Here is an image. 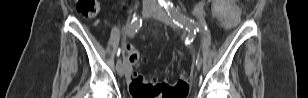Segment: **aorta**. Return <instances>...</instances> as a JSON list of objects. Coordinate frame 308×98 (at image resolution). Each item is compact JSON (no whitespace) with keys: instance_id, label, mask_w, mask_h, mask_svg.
I'll return each instance as SVG.
<instances>
[{"instance_id":"aorta-1","label":"aorta","mask_w":308,"mask_h":98,"mask_svg":"<svg viewBox=\"0 0 308 98\" xmlns=\"http://www.w3.org/2000/svg\"><path fill=\"white\" fill-rule=\"evenodd\" d=\"M167 3L169 4V3H170V0H167Z\"/></svg>"}]
</instances>
